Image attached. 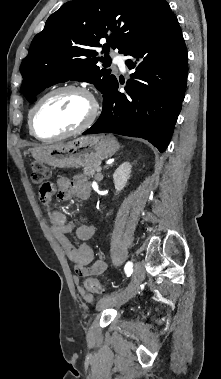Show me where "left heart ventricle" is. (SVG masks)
Returning <instances> with one entry per match:
<instances>
[{
	"label": "left heart ventricle",
	"instance_id": "obj_1",
	"mask_svg": "<svg viewBox=\"0 0 221 379\" xmlns=\"http://www.w3.org/2000/svg\"><path fill=\"white\" fill-rule=\"evenodd\" d=\"M91 103L83 94L73 91L61 92L47 98L34 116L36 132L51 137L70 131L88 117Z\"/></svg>",
	"mask_w": 221,
	"mask_h": 379
}]
</instances>
